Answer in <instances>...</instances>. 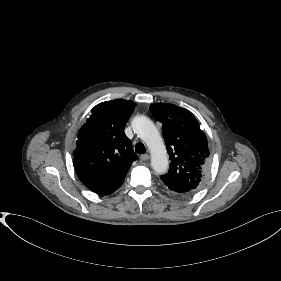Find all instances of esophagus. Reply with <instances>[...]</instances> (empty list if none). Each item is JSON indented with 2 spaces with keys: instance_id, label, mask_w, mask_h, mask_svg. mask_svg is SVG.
I'll use <instances>...</instances> for the list:
<instances>
[{
  "instance_id": "esophagus-1",
  "label": "esophagus",
  "mask_w": 281,
  "mask_h": 281,
  "mask_svg": "<svg viewBox=\"0 0 281 281\" xmlns=\"http://www.w3.org/2000/svg\"><path fill=\"white\" fill-rule=\"evenodd\" d=\"M149 158H150L149 154H143V155L140 156V159L142 161H147Z\"/></svg>"
}]
</instances>
